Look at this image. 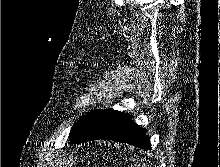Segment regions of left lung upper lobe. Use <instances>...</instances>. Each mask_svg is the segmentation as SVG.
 <instances>
[{
	"mask_svg": "<svg viewBox=\"0 0 220 167\" xmlns=\"http://www.w3.org/2000/svg\"><path fill=\"white\" fill-rule=\"evenodd\" d=\"M101 112L102 110L90 112L89 114L81 117L79 121L75 123L69 134L71 143L79 140L85 134V132L91 127Z\"/></svg>",
	"mask_w": 220,
	"mask_h": 167,
	"instance_id": "obj_1",
	"label": "left lung upper lobe"
}]
</instances>
